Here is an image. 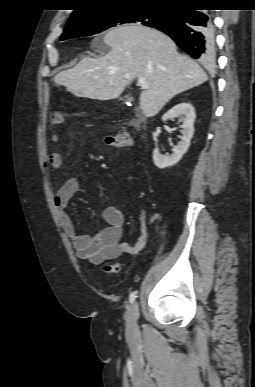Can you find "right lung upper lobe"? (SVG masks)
I'll use <instances>...</instances> for the list:
<instances>
[{
	"mask_svg": "<svg viewBox=\"0 0 255 387\" xmlns=\"http://www.w3.org/2000/svg\"><path fill=\"white\" fill-rule=\"evenodd\" d=\"M200 0H77L78 8L73 11L68 22L121 6L176 7L198 3Z\"/></svg>",
	"mask_w": 255,
	"mask_h": 387,
	"instance_id": "cb5924a9",
	"label": "right lung upper lobe"
}]
</instances>
